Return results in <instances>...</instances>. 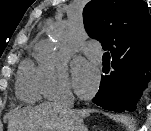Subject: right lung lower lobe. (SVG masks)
I'll return each instance as SVG.
<instances>
[{
    "mask_svg": "<svg viewBox=\"0 0 151 131\" xmlns=\"http://www.w3.org/2000/svg\"><path fill=\"white\" fill-rule=\"evenodd\" d=\"M119 62L112 61L114 71L102 77L93 102L105 110L132 111L151 79V58L135 65Z\"/></svg>",
    "mask_w": 151,
    "mask_h": 131,
    "instance_id": "98d812e1",
    "label": "right lung lower lobe"
}]
</instances>
